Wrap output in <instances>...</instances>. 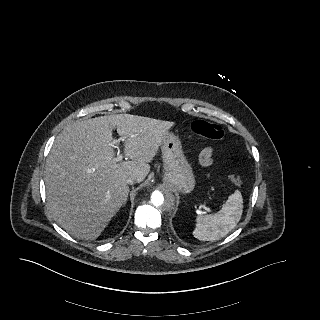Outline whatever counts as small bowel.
I'll list each match as a JSON object with an SVG mask.
<instances>
[{
	"instance_id": "obj_1",
	"label": "small bowel",
	"mask_w": 320,
	"mask_h": 320,
	"mask_svg": "<svg viewBox=\"0 0 320 320\" xmlns=\"http://www.w3.org/2000/svg\"><path fill=\"white\" fill-rule=\"evenodd\" d=\"M213 149L206 147L200 152V162L204 166H209L212 163Z\"/></svg>"
}]
</instances>
